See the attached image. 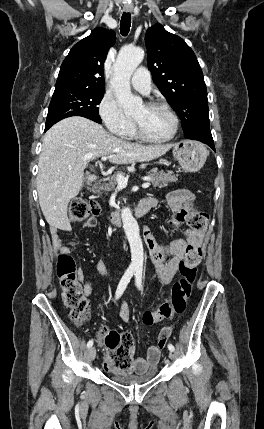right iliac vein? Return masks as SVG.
<instances>
[{
  "instance_id": "right-iliac-vein-1",
  "label": "right iliac vein",
  "mask_w": 264,
  "mask_h": 429,
  "mask_svg": "<svg viewBox=\"0 0 264 429\" xmlns=\"http://www.w3.org/2000/svg\"><path fill=\"white\" fill-rule=\"evenodd\" d=\"M88 357H89V359H90L91 361H93V360L95 359V357H96V349H95V347H91V348L88 350Z\"/></svg>"
}]
</instances>
